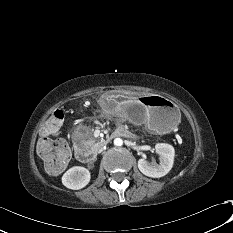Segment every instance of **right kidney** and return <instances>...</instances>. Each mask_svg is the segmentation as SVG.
<instances>
[{
  "label": "right kidney",
  "instance_id": "right-kidney-1",
  "mask_svg": "<svg viewBox=\"0 0 233 233\" xmlns=\"http://www.w3.org/2000/svg\"><path fill=\"white\" fill-rule=\"evenodd\" d=\"M90 178L88 169L81 166H74L63 174L62 183L69 189L79 190L89 183Z\"/></svg>",
  "mask_w": 233,
  "mask_h": 233
}]
</instances>
